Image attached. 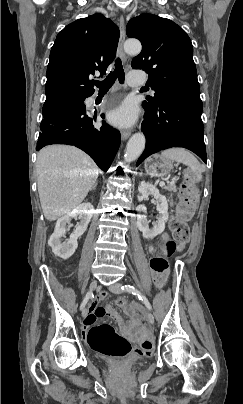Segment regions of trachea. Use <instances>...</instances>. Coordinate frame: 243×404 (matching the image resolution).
<instances>
[{
	"label": "trachea",
	"mask_w": 243,
	"mask_h": 404,
	"mask_svg": "<svg viewBox=\"0 0 243 404\" xmlns=\"http://www.w3.org/2000/svg\"><path fill=\"white\" fill-rule=\"evenodd\" d=\"M118 78L121 84L124 83L125 80V72L123 70L122 62L119 57L115 61V69L113 72H110L107 77L102 80L101 82H94L96 87L99 88L100 91H107L109 90L112 85L115 83L116 79Z\"/></svg>",
	"instance_id": "trachea-1"
}]
</instances>
